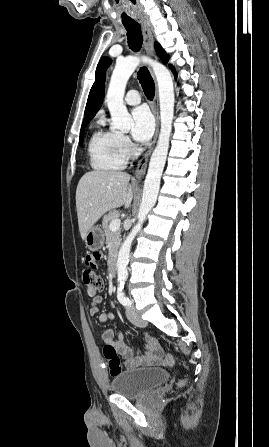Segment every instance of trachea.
Returning a JSON list of instances; mask_svg holds the SVG:
<instances>
[{
  "label": "trachea",
  "mask_w": 269,
  "mask_h": 447,
  "mask_svg": "<svg viewBox=\"0 0 269 447\" xmlns=\"http://www.w3.org/2000/svg\"><path fill=\"white\" fill-rule=\"evenodd\" d=\"M123 24L127 30L128 45L130 49L137 52L141 49L143 41L140 25L135 21L123 22ZM138 80L146 97L152 100L155 94V84L147 68L143 67L139 70Z\"/></svg>",
  "instance_id": "3493384b"
}]
</instances>
